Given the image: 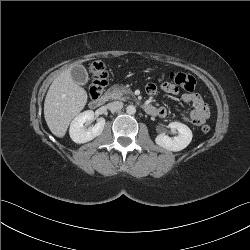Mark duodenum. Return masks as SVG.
I'll return each instance as SVG.
<instances>
[{
  "instance_id": "obj_1",
  "label": "duodenum",
  "mask_w": 250,
  "mask_h": 250,
  "mask_svg": "<svg viewBox=\"0 0 250 250\" xmlns=\"http://www.w3.org/2000/svg\"><path fill=\"white\" fill-rule=\"evenodd\" d=\"M106 101H107V96L106 95H102V96H99V97H94V98H92V100L90 102V106L93 109H97V108L102 107L105 104ZM143 108H144L145 112L150 114V115H156V113H157L156 107H154L152 105L145 104V105H143Z\"/></svg>"
}]
</instances>
